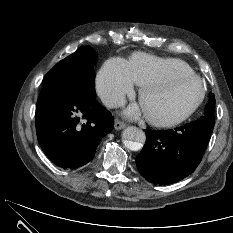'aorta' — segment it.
<instances>
[{
	"instance_id": "762f6f07",
	"label": "aorta",
	"mask_w": 233,
	"mask_h": 233,
	"mask_svg": "<svg viewBox=\"0 0 233 233\" xmlns=\"http://www.w3.org/2000/svg\"><path fill=\"white\" fill-rule=\"evenodd\" d=\"M122 138L124 139L125 147L132 151L140 150L146 141L145 133L135 126L125 128L122 132Z\"/></svg>"
}]
</instances>
